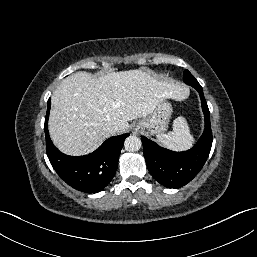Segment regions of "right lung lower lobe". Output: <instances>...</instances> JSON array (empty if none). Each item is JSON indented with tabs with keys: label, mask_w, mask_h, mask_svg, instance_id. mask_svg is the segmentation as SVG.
<instances>
[{
	"label": "right lung lower lobe",
	"mask_w": 257,
	"mask_h": 257,
	"mask_svg": "<svg viewBox=\"0 0 257 257\" xmlns=\"http://www.w3.org/2000/svg\"><path fill=\"white\" fill-rule=\"evenodd\" d=\"M50 99L45 117L46 152L56 173L68 185L86 193L103 190L114 177L120 151L129 133L107 139L97 150L84 156H68L61 153L52 143L48 132Z\"/></svg>",
	"instance_id": "obj_1"
}]
</instances>
